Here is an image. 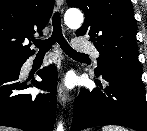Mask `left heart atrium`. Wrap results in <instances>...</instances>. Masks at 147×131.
Wrapping results in <instances>:
<instances>
[{
    "mask_svg": "<svg viewBox=\"0 0 147 131\" xmlns=\"http://www.w3.org/2000/svg\"><path fill=\"white\" fill-rule=\"evenodd\" d=\"M67 84L70 85V84H71V81L69 80V81L67 82Z\"/></svg>",
    "mask_w": 147,
    "mask_h": 131,
    "instance_id": "obj_1",
    "label": "left heart atrium"
}]
</instances>
